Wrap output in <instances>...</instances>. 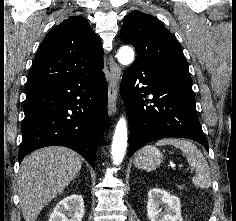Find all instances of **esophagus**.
Wrapping results in <instances>:
<instances>
[{
    "label": "esophagus",
    "instance_id": "esophagus-1",
    "mask_svg": "<svg viewBox=\"0 0 236 221\" xmlns=\"http://www.w3.org/2000/svg\"><path fill=\"white\" fill-rule=\"evenodd\" d=\"M109 67L108 114L109 116H113L117 111L116 105L119 92L121 69L112 56L109 58Z\"/></svg>",
    "mask_w": 236,
    "mask_h": 221
}]
</instances>
